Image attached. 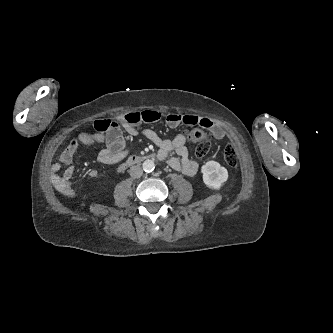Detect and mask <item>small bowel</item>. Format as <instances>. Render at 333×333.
Listing matches in <instances>:
<instances>
[{"instance_id": "1", "label": "small bowel", "mask_w": 333, "mask_h": 333, "mask_svg": "<svg viewBox=\"0 0 333 333\" xmlns=\"http://www.w3.org/2000/svg\"><path fill=\"white\" fill-rule=\"evenodd\" d=\"M161 114L156 110H145L129 112L119 119V127L116 131L108 133H80L73 139L69 145L62 151L57 162L50 168L49 178L53 186L62 194L69 198L74 196L72 192V176L74 167L72 166L73 156L80 144L93 145L105 143V148L98 154V161L102 164L113 165L124 160L129 152L125 149V140L122 136V129L131 135L139 134L138 126L142 123H152L160 119ZM166 122L171 127L179 125H200L209 130L214 139L220 140L225 133L223 128L212 122L210 119L197 115L171 113L167 115ZM141 133L158 147L157 156L164 160L176 171L182 172L188 176H194L199 170L196 161L189 157L186 146V134L180 133L173 139H162L155 131L145 129ZM171 152H175L177 157H169ZM65 170L60 174L61 169ZM90 177H96L97 171H89Z\"/></svg>"}]
</instances>
